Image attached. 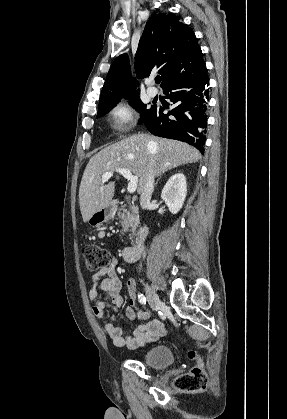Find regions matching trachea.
Wrapping results in <instances>:
<instances>
[{"label":"trachea","instance_id":"1","mask_svg":"<svg viewBox=\"0 0 287 419\" xmlns=\"http://www.w3.org/2000/svg\"><path fill=\"white\" fill-rule=\"evenodd\" d=\"M155 82H156V84H159L161 82V77H156Z\"/></svg>","mask_w":287,"mask_h":419}]
</instances>
